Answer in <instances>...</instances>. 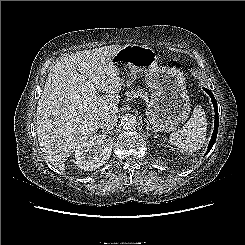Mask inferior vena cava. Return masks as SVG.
I'll return each instance as SVG.
<instances>
[{
	"label": "inferior vena cava",
	"mask_w": 245,
	"mask_h": 245,
	"mask_svg": "<svg viewBox=\"0 0 245 245\" xmlns=\"http://www.w3.org/2000/svg\"><path fill=\"white\" fill-rule=\"evenodd\" d=\"M118 122V116L116 114H107L100 121V128L111 130L113 129Z\"/></svg>",
	"instance_id": "obj_1"
}]
</instances>
